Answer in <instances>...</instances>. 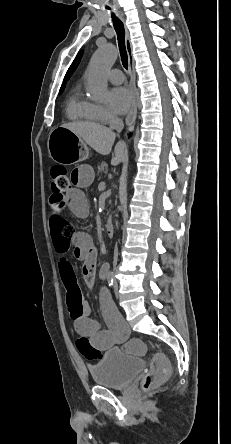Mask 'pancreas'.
<instances>
[{"label":"pancreas","mask_w":231,"mask_h":444,"mask_svg":"<svg viewBox=\"0 0 231 444\" xmlns=\"http://www.w3.org/2000/svg\"><path fill=\"white\" fill-rule=\"evenodd\" d=\"M107 168L108 165L106 162H102L98 165L97 169H98V175H100V177L105 174L107 172Z\"/></svg>","instance_id":"cf45deb5"}]
</instances>
